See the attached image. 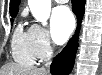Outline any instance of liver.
<instances>
[{
	"instance_id": "1",
	"label": "liver",
	"mask_w": 102,
	"mask_h": 75,
	"mask_svg": "<svg viewBox=\"0 0 102 75\" xmlns=\"http://www.w3.org/2000/svg\"><path fill=\"white\" fill-rule=\"evenodd\" d=\"M0 75H48L46 70L34 66L8 63L0 68Z\"/></svg>"
}]
</instances>
